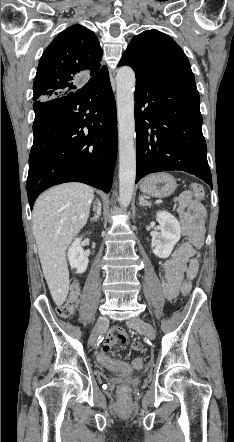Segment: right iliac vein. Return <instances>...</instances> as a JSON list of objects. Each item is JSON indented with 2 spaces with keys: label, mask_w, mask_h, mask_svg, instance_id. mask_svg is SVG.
Returning a JSON list of instances; mask_svg holds the SVG:
<instances>
[{
  "label": "right iliac vein",
  "mask_w": 234,
  "mask_h": 442,
  "mask_svg": "<svg viewBox=\"0 0 234 442\" xmlns=\"http://www.w3.org/2000/svg\"><path fill=\"white\" fill-rule=\"evenodd\" d=\"M108 324V319L104 316H100L92 330L90 343L91 345H95L99 334L106 328Z\"/></svg>",
  "instance_id": "right-iliac-vein-1"
}]
</instances>
